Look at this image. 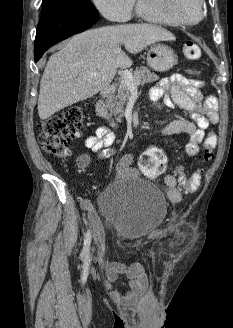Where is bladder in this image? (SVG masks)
<instances>
[{
    "label": "bladder",
    "instance_id": "bladder-1",
    "mask_svg": "<svg viewBox=\"0 0 233 328\" xmlns=\"http://www.w3.org/2000/svg\"><path fill=\"white\" fill-rule=\"evenodd\" d=\"M99 213L120 238L137 240L157 229L167 215L163 192L142 179L116 181L98 197Z\"/></svg>",
    "mask_w": 233,
    "mask_h": 328
}]
</instances>
